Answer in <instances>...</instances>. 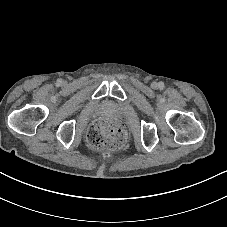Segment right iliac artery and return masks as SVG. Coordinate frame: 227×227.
Returning <instances> with one entry per match:
<instances>
[{"instance_id": "right-iliac-artery-1", "label": "right iliac artery", "mask_w": 227, "mask_h": 227, "mask_svg": "<svg viewBox=\"0 0 227 227\" xmlns=\"http://www.w3.org/2000/svg\"><path fill=\"white\" fill-rule=\"evenodd\" d=\"M62 83V79H58L57 80V84L59 85V84H61Z\"/></svg>"}]
</instances>
